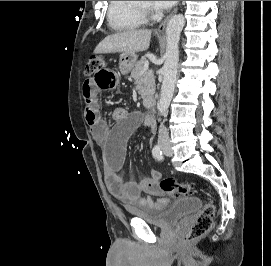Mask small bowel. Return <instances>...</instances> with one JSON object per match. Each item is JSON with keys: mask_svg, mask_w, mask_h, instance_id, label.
<instances>
[{"mask_svg": "<svg viewBox=\"0 0 271 266\" xmlns=\"http://www.w3.org/2000/svg\"><path fill=\"white\" fill-rule=\"evenodd\" d=\"M119 75L115 68L106 64L95 70L85 81L82 89L86 102L85 118L93 139L105 147L104 178L108 190L129 206L145 211H160L170 203V199L163 196L157 186V181L161 178L158 170L151 169V177L139 181L124 180L120 174L126 156L127 141L138 126V117L129 114L124 108H117L112 114L116 125L110 129L100 115L99 91L114 89Z\"/></svg>", "mask_w": 271, "mask_h": 266, "instance_id": "obj_1", "label": "small bowel"}]
</instances>
